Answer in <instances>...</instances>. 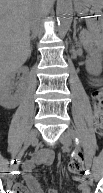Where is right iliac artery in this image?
Listing matches in <instances>:
<instances>
[{
  "label": "right iliac artery",
  "mask_w": 103,
  "mask_h": 193,
  "mask_svg": "<svg viewBox=\"0 0 103 193\" xmlns=\"http://www.w3.org/2000/svg\"><path fill=\"white\" fill-rule=\"evenodd\" d=\"M23 153H24V150L20 153L19 157L17 158V161H18V159H20L22 157Z\"/></svg>",
  "instance_id": "right-iliac-artery-1"
}]
</instances>
